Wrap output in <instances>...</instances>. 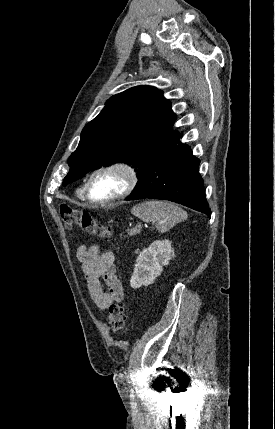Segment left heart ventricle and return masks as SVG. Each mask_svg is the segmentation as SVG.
<instances>
[{"mask_svg":"<svg viewBox=\"0 0 275 429\" xmlns=\"http://www.w3.org/2000/svg\"><path fill=\"white\" fill-rule=\"evenodd\" d=\"M123 186L122 174L115 171L103 172L93 179L90 193L94 199H106L121 191Z\"/></svg>","mask_w":275,"mask_h":429,"instance_id":"b2bd125f","label":"left heart ventricle"}]
</instances>
